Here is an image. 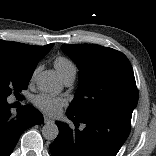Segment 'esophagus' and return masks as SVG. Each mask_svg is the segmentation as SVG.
I'll list each match as a JSON object with an SVG mask.
<instances>
[{
  "instance_id": "1",
  "label": "esophagus",
  "mask_w": 156,
  "mask_h": 156,
  "mask_svg": "<svg viewBox=\"0 0 156 156\" xmlns=\"http://www.w3.org/2000/svg\"><path fill=\"white\" fill-rule=\"evenodd\" d=\"M53 120L51 118H49L48 116L44 115V123L49 124L52 123Z\"/></svg>"
}]
</instances>
